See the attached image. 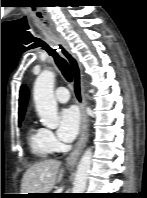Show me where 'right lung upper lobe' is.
I'll list each match as a JSON object with an SVG mask.
<instances>
[{
    "label": "right lung upper lobe",
    "mask_w": 147,
    "mask_h": 198,
    "mask_svg": "<svg viewBox=\"0 0 147 198\" xmlns=\"http://www.w3.org/2000/svg\"><path fill=\"white\" fill-rule=\"evenodd\" d=\"M28 89L26 85H22L20 89V98H19V119H23L25 114L26 104L28 102Z\"/></svg>",
    "instance_id": "1"
}]
</instances>
